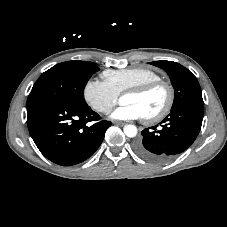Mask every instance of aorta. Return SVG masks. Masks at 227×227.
Returning <instances> with one entry per match:
<instances>
[{
  "mask_svg": "<svg viewBox=\"0 0 227 227\" xmlns=\"http://www.w3.org/2000/svg\"><path fill=\"white\" fill-rule=\"evenodd\" d=\"M124 134L127 137L133 138L137 135V128L135 125H125L124 126Z\"/></svg>",
  "mask_w": 227,
  "mask_h": 227,
  "instance_id": "762f6f07",
  "label": "aorta"
}]
</instances>
